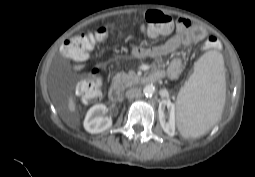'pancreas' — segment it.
Instances as JSON below:
<instances>
[{
  "mask_svg": "<svg viewBox=\"0 0 255 177\" xmlns=\"http://www.w3.org/2000/svg\"><path fill=\"white\" fill-rule=\"evenodd\" d=\"M139 82V77L134 74H126L124 72L117 73L112 80V85L116 88L124 90Z\"/></svg>",
  "mask_w": 255,
  "mask_h": 177,
  "instance_id": "obj_1",
  "label": "pancreas"
}]
</instances>
